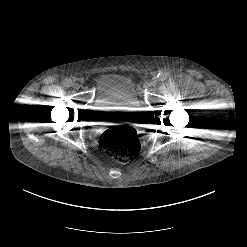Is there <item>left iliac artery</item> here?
Here are the masks:
<instances>
[{
  "label": "left iliac artery",
  "instance_id": "left-iliac-artery-1",
  "mask_svg": "<svg viewBox=\"0 0 247 247\" xmlns=\"http://www.w3.org/2000/svg\"><path fill=\"white\" fill-rule=\"evenodd\" d=\"M168 75L165 72H160L157 74V79L159 81H165L167 79Z\"/></svg>",
  "mask_w": 247,
  "mask_h": 247
}]
</instances>
